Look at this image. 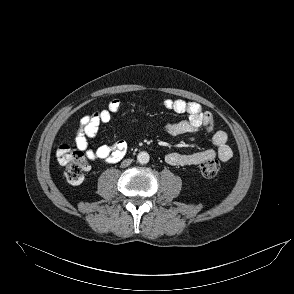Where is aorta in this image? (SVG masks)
Here are the masks:
<instances>
[{
  "label": "aorta",
  "instance_id": "aorta-1",
  "mask_svg": "<svg viewBox=\"0 0 294 294\" xmlns=\"http://www.w3.org/2000/svg\"><path fill=\"white\" fill-rule=\"evenodd\" d=\"M150 160V156L147 152L145 151H142L140 153H138L137 155V161L140 163V164H147Z\"/></svg>",
  "mask_w": 294,
  "mask_h": 294
}]
</instances>
